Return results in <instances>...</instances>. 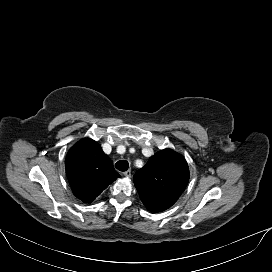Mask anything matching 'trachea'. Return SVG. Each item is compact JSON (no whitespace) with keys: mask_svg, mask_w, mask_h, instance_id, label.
Instances as JSON below:
<instances>
[{"mask_svg":"<svg viewBox=\"0 0 272 272\" xmlns=\"http://www.w3.org/2000/svg\"><path fill=\"white\" fill-rule=\"evenodd\" d=\"M115 167L119 171L124 172V171H127L128 167H129V163L126 160H120L115 164Z\"/></svg>","mask_w":272,"mask_h":272,"instance_id":"1","label":"trachea"}]
</instances>
